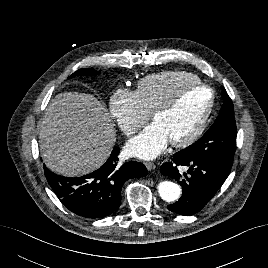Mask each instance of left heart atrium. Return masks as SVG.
<instances>
[{
  "instance_id": "obj_1",
  "label": "left heart atrium",
  "mask_w": 268,
  "mask_h": 268,
  "mask_svg": "<svg viewBox=\"0 0 268 268\" xmlns=\"http://www.w3.org/2000/svg\"><path fill=\"white\" fill-rule=\"evenodd\" d=\"M169 139L161 126L154 122L147 125L126 145V153L130 157L145 160L157 157L167 146Z\"/></svg>"
}]
</instances>
